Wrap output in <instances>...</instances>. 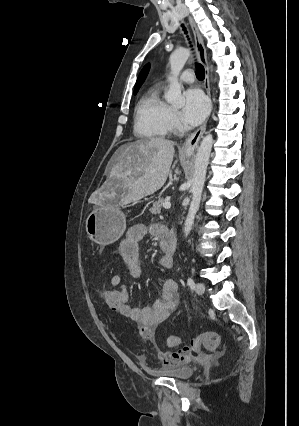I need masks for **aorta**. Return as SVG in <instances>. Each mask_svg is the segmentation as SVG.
I'll return each instance as SVG.
<instances>
[{
	"mask_svg": "<svg viewBox=\"0 0 299 426\" xmlns=\"http://www.w3.org/2000/svg\"><path fill=\"white\" fill-rule=\"evenodd\" d=\"M189 56L190 50L183 48L174 51L169 58L171 77L169 90L165 94V99L168 103L177 107H182L184 105V99L181 94L182 86L178 81V77ZM212 145L213 137L212 134L208 133L202 139L195 157L193 184L191 188L192 200L184 224V234L186 237L191 231L195 215L199 210Z\"/></svg>",
	"mask_w": 299,
	"mask_h": 426,
	"instance_id": "obj_1",
	"label": "aorta"
}]
</instances>
